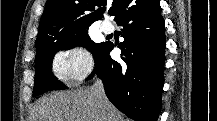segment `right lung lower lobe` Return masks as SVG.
Listing matches in <instances>:
<instances>
[{"mask_svg": "<svg viewBox=\"0 0 217 121\" xmlns=\"http://www.w3.org/2000/svg\"><path fill=\"white\" fill-rule=\"evenodd\" d=\"M123 26L124 41L118 45L122 61L109 53L105 42L96 60V73L104 83L108 99L121 112L136 121H157L161 110L164 64V20L159 0H135L116 20Z\"/></svg>", "mask_w": 217, "mask_h": 121, "instance_id": "98d812e1", "label": "right lung lower lobe"}]
</instances>
